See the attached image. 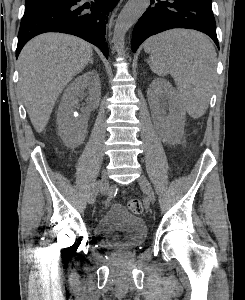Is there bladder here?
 Here are the masks:
<instances>
[{"label":"bladder","instance_id":"bladder-1","mask_svg":"<svg viewBox=\"0 0 245 300\" xmlns=\"http://www.w3.org/2000/svg\"><path fill=\"white\" fill-rule=\"evenodd\" d=\"M95 237L100 245L116 251H127L142 245L147 236L143 218L113 204L96 222Z\"/></svg>","mask_w":245,"mask_h":300}]
</instances>
